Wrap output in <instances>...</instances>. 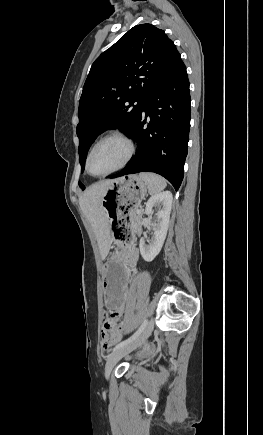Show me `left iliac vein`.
Returning <instances> with one entry per match:
<instances>
[{"label":"left iliac vein","instance_id":"4c4485c4","mask_svg":"<svg viewBox=\"0 0 263 435\" xmlns=\"http://www.w3.org/2000/svg\"><path fill=\"white\" fill-rule=\"evenodd\" d=\"M153 328H154V320L151 319L150 322L147 324V326L144 328V330L141 332V334L134 341L113 351L110 354L105 365L106 379H109L113 367L117 364V362L121 358H123L125 355L132 352L133 350L138 348L142 343L145 342V340L151 335Z\"/></svg>","mask_w":263,"mask_h":435}]
</instances>
